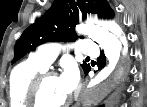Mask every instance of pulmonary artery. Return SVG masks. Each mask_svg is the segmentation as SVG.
Returning <instances> with one entry per match:
<instances>
[{
    "label": "pulmonary artery",
    "mask_w": 147,
    "mask_h": 107,
    "mask_svg": "<svg viewBox=\"0 0 147 107\" xmlns=\"http://www.w3.org/2000/svg\"><path fill=\"white\" fill-rule=\"evenodd\" d=\"M77 46L80 50V53L89 55V56H97L99 49L95 43L89 41H80L77 42ZM59 45L57 44H48L40 48L37 53L33 54L32 60L44 66L45 68L49 67L52 62L55 60L58 51Z\"/></svg>",
    "instance_id": "e3ab8cb5"
}]
</instances>
